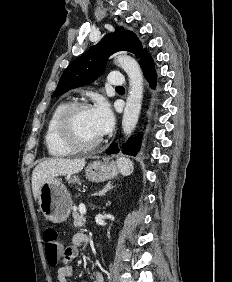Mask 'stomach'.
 <instances>
[{
    "label": "stomach",
    "mask_w": 232,
    "mask_h": 282,
    "mask_svg": "<svg viewBox=\"0 0 232 282\" xmlns=\"http://www.w3.org/2000/svg\"><path fill=\"white\" fill-rule=\"evenodd\" d=\"M119 169L114 162L93 161L85 169V176L92 182H103L117 176ZM69 183L79 181L77 175H67ZM38 203L41 212L49 221L61 223L65 221L72 209L71 196L62 183L61 178L55 177L51 181H46L40 191Z\"/></svg>",
    "instance_id": "1"
}]
</instances>
